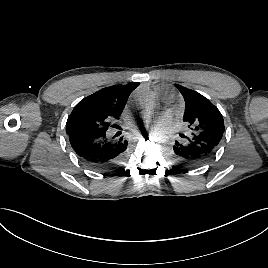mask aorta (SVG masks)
<instances>
[{
	"mask_svg": "<svg viewBox=\"0 0 268 268\" xmlns=\"http://www.w3.org/2000/svg\"><path fill=\"white\" fill-rule=\"evenodd\" d=\"M142 106L146 108H152L155 105V101L152 97L145 96L141 99ZM154 139L157 143L162 144L166 141L167 136L164 132L159 131L155 134Z\"/></svg>",
	"mask_w": 268,
	"mask_h": 268,
	"instance_id": "762f6f07",
	"label": "aorta"
}]
</instances>
